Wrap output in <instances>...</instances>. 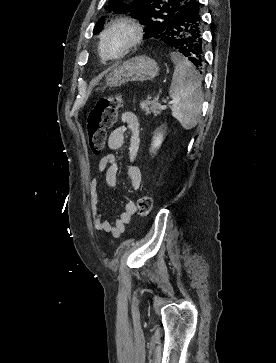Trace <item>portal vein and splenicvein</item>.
<instances>
[{
  "mask_svg": "<svg viewBox=\"0 0 276 363\" xmlns=\"http://www.w3.org/2000/svg\"><path fill=\"white\" fill-rule=\"evenodd\" d=\"M172 102H169L168 104H171ZM161 108L162 109H166L167 108V104H163L162 106H161Z\"/></svg>",
  "mask_w": 276,
  "mask_h": 363,
  "instance_id": "18ae733b",
  "label": "portal vein and splenic vein"
}]
</instances>
